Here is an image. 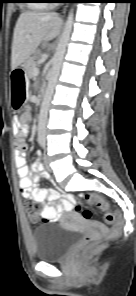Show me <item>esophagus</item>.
<instances>
[{
	"label": "esophagus",
	"instance_id": "obj_1",
	"mask_svg": "<svg viewBox=\"0 0 136 296\" xmlns=\"http://www.w3.org/2000/svg\"><path fill=\"white\" fill-rule=\"evenodd\" d=\"M67 7L68 5L63 6V11H65Z\"/></svg>",
	"mask_w": 136,
	"mask_h": 296
}]
</instances>
